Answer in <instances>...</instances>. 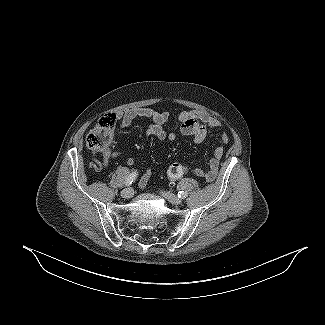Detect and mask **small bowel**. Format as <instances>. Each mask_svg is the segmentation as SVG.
Listing matches in <instances>:
<instances>
[{
    "mask_svg": "<svg viewBox=\"0 0 325 325\" xmlns=\"http://www.w3.org/2000/svg\"><path fill=\"white\" fill-rule=\"evenodd\" d=\"M116 118L119 121L120 128L129 127L133 121L137 118H147L152 120V124L148 128L146 135L154 136L159 140H169L173 141L176 138L174 133L168 134L165 130V125L169 120V114L167 112H158L149 107H135L124 111L123 113L116 114ZM178 120L180 122V132L183 135L191 136L195 143L203 142L208 133V128H215L220 125V123L209 117L208 115L195 111V110H185L179 113ZM221 141L227 143L229 141V136L223 133L221 136ZM224 149L222 146H217L214 149L212 158L209 161L207 169L193 168L191 172L197 177L204 179L206 181H212L218 172L219 162L223 156ZM121 152L111 151L105 149L102 152L104 166H107L110 160L117 158ZM135 160L133 158L128 159V164H134ZM151 176L150 169L141 177L139 186L141 188L145 187Z\"/></svg>",
    "mask_w": 325,
    "mask_h": 325,
    "instance_id": "small-bowel-1",
    "label": "small bowel"
}]
</instances>
